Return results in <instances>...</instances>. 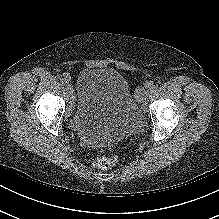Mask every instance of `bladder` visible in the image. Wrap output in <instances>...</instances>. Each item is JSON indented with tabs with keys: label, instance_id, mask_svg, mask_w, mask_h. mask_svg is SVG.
Listing matches in <instances>:
<instances>
[{
	"label": "bladder",
	"instance_id": "1",
	"mask_svg": "<svg viewBox=\"0 0 219 219\" xmlns=\"http://www.w3.org/2000/svg\"><path fill=\"white\" fill-rule=\"evenodd\" d=\"M76 106L68 119L77 133H99L107 140L136 135L143 117L126 79L107 68H86L78 78Z\"/></svg>",
	"mask_w": 219,
	"mask_h": 219
}]
</instances>
